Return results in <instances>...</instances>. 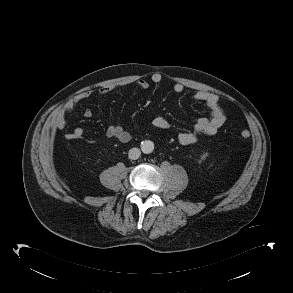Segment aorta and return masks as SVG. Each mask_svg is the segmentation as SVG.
<instances>
[{
  "mask_svg": "<svg viewBox=\"0 0 293 293\" xmlns=\"http://www.w3.org/2000/svg\"><path fill=\"white\" fill-rule=\"evenodd\" d=\"M141 150L145 154H149L154 150V143L150 140H145L141 143Z\"/></svg>",
  "mask_w": 293,
  "mask_h": 293,
  "instance_id": "1",
  "label": "aorta"
}]
</instances>
